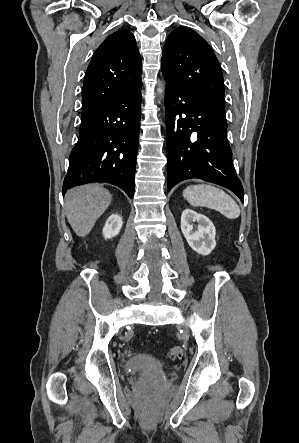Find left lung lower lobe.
<instances>
[{
  "mask_svg": "<svg viewBox=\"0 0 299 443\" xmlns=\"http://www.w3.org/2000/svg\"><path fill=\"white\" fill-rule=\"evenodd\" d=\"M165 80L168 191L182 180L198 178L230 189L243 202L225 114Z\"/></svg>",
  "mask_w": 299,
  "mask_h": 443,
  "instance_id": "0a47b994",
  "label": "left lung lower lobe"
}]
</instances>
